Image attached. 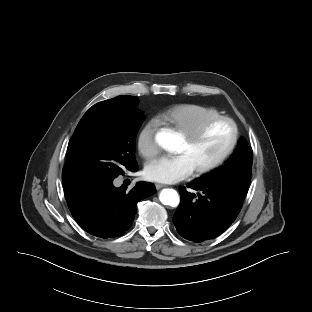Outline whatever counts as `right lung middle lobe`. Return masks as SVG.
Listing matches in <instances>:
<instances>
[{"mask_svg":"<svg viewBox=\"0 0 312 312\" xmlns=\"http://www.w3.org/2000/svg\"><path fill=\"white\" fill-rule=\"evenodd\" d=\"M137 97L106 100L93 105L77 125L67 149L62 171L65 198L114 180L136 169L134 147L143 112Z\"/></svg>","mask_w":312,"mask_h":312,"instance_id":"1","label":"right lung middle lobe"}]
</instances>
